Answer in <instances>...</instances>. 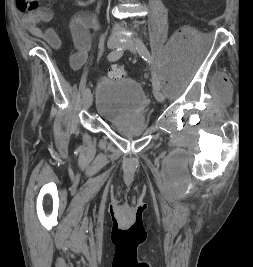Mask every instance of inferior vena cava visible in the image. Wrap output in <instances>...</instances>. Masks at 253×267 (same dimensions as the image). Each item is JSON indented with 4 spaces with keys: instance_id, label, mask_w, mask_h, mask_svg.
I'll list each match as a JSON object with an SVG mask.
<instances>
[{
    "instance_id": "602c4592",
    "label": "inferior vena cava",
    "mask_w": 253,
    "mask_h": 267,
    "mask_svg": "<svg viewBox=\"0 0 253 267\" xmlns=\"http://www.w3.org/2000/svg\"><path fill=\"white\" fill-rule=\"evenodd\" d=\"M116 28H119L118 24H115Z\"/></svg>"
}]
</instances>
